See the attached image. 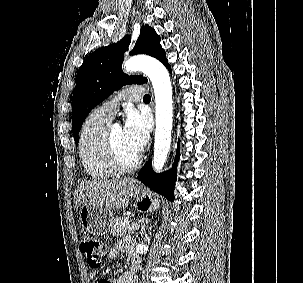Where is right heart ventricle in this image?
Listing matches in <instances>:
<instances>
[{"label":"right heart ventricle","instance_id":"obj_1","mask_svg":"<svg viewBox=\"0 0 303 283\" xmlns=\"http://www.w3.org/2000/svg\"><path fill=\"white\" fill-rule=\"evenodd\" d=\"M111 119L97 108L86 118L80 131V161L86 174L94 180H105L115 173L103 152V138Z\"/></svg>","mask_w":303,"mask_h":283}]
</instances>
